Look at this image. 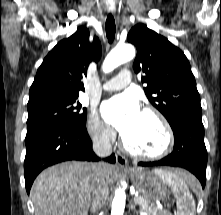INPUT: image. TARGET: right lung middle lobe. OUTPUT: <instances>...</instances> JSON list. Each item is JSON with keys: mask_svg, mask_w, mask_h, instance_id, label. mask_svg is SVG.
Wrapping results in <instances>:
<instances>
[{"mask_svg": "<svg viewBox=\"0 0 221 215\" xmlns=\"http://www.w3.org/2000/svg\"><path fill=\"white\" fill-rule=\"evenodd\" d=\"M76 99L48 101L28 106L27 131L55 122L84 125L87 110L82 108Z\"/></svg>", "mask_w": 221, "mask_h": 215, "instance_id": "obj_1", "label": "right lung middle lobe"}]
</instances>
